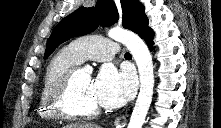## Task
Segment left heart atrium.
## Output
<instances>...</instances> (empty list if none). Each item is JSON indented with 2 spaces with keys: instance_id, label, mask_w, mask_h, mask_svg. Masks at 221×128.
<instances>
[{
  "instance_id": "obj_1",
  "label": "left heart atrium",
  "mask_w": 221,
  "mask_h": 128,
  "mask_svg": "<svg viewBox=\"0 0 221 128\" xmlns=\"http://www.w3.org/2000/svg\"><path fill=\"white\" fill-rule=\"evenodd\" d=\"M135 81L128 73H118L111 66H104L91 80V91L99 106L115 109L123 105L133 95Z\"/></svg>"
}]
</instances>
